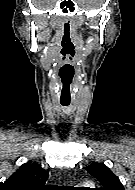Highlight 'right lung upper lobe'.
<instances>
[{
	"instance_id": "1",
	"label": "right lung upper lobe",
	"mask_w": 135,
	"mask_h": 190,
	"mask_svg": "<svg viewBox=\"0 0 135 190\" xmlns=\"http://www.w3.org/2000/svg\"><path fill=\"white\" fill-rule=\"evenodd\" d=\"M48 173L36 163L23 164L4 183H0V190H48L45 185Z\"/></svg>"
}]
</instances>
